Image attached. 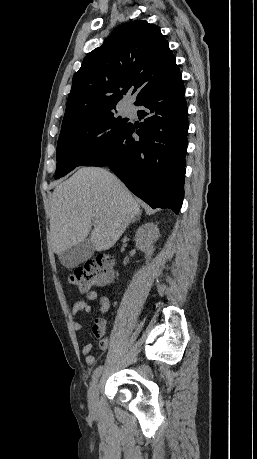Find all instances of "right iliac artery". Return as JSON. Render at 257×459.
Here are the masks:
<instances>
[{
  "mask_svg": "<svg viewBox=\"0 0 257 459\" xmlns=\"http://www.w3.org/2000/svg\"><path fill=\"white\" fill-rule=\"evenodd\" d=\"M102 370H103V366H99L94 370L93 375H92V382L97 381L100 374L102 373Z\"/></svg>",
  "mask_w": 257,
  "mask_h": 459,
  "instance_id": "1",
  "label": "right iliac artery"
}]
</instances>
